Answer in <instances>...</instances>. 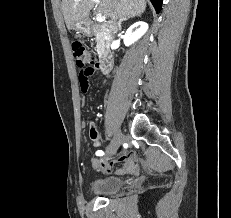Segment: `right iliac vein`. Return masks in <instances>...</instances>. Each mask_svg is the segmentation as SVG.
Returning <instances> with one entry per match:
<instances>
[{
	"label": "right iliac vein",
	"mask_w": 231,
	"mask_h": 218,
	"mask_svg": "<svg viewBox=\"0 0 231 218\" xmlns=\"http://www.w3.org/2000/svg\"><path fill=\"white\" fill-rule=\"evenodd\" d=\"M123 140H124V135L120 130H118L116 132L111 144L106 149V156H104L102 160H104V161L108 160L109 156L114 154L117 151V149L119 148V146L121 145Z\"/></svg>",
	"instance_id": "1"
}]
</instances>
